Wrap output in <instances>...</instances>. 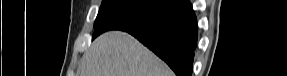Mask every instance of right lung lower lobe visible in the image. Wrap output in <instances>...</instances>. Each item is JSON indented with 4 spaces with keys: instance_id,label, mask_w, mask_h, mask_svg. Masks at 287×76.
<instances>
[{
    "instance_id": "98d812e1",
    "label": "right lung lower lobe",
    "mask_w": 287,
    "mask_h": 76,
    "mask_svg": "<svg viewBox=\"0 0 287 76\" xmlns=\"http://www.w3.org/2000/svg\"><path fill=\"white\" fill-rule=\"evenodd\" d=\"M163 59L177 76H191L197 21L189 0H181L141 29L127 31Z\"/></svg>"
}]
</instances>
